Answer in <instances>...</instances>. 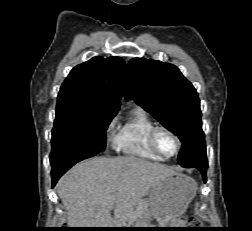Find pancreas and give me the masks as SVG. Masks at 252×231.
Returning <instances> with one entry per match:
<instances>
[{
    "label": "pancreas",
    "mask_w": 252,
    "mask_h": 231,
    "mask_svg": "<svg viewBox=\"0 0 252 231\" xmlns=\"http://www.w3.org/2000/svg\"><path fill=\"white\" fill-rule=\"evenodd\" d=\"M143 221H144V224H146L147 223V218H144Z\"/></svg>",
    "instance_id": "obj_1"
}]
</instances>
